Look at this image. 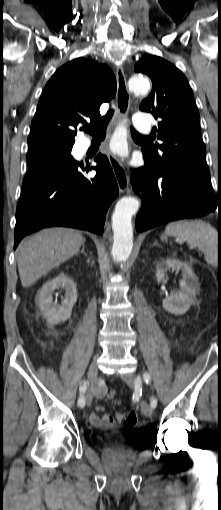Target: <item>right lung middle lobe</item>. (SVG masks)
<instances>
[{
    "label": "right lung middle lobe",
    "mask_w": 221,
    "mask_h": 510,
    "mask_svg": "<svg viewBox=\"0 0 221 510\" xmlns=\"http://www.w3.org/2000/svg\"><path fill=\"white\" fill-rule=\"evenodd\" d=\"M71 147H42L28 152V171L24 182L31 178L50 174H69L78 162L70 155Z\"/></svg>",
    "instance_id": "dd1d6c3e"
}]
</instances>
